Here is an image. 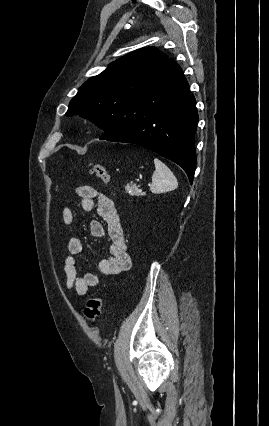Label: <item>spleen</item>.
Instances as JSON below:
<instances>
[{"mask_svg": "<svg viewBox=\"0 0 269 426\" xmlns=\"http://www.w3.org/2000/svg\"><path fill=\"white\" fill-rule=\"evenodd\" d=\"M155 171L152 175L150 190L154 194L168 192L178 187V182L171 170L159 159H154Z\"/></svg>", "mask_w": 269, "mask_h": 426, "instance_id": "1", "label": "spleen"}]
</instances>
